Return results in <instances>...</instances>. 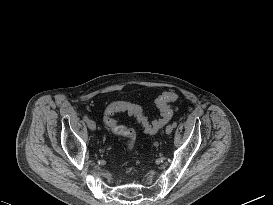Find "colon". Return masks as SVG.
Segmentation results:
<instances>
[{
	"instance_id": "obj_1",
	"label": "colon",
	"mask_w": 273,
	"mask_h": 205,
	"mask_svg": "<svg viewBox=\"0 0 273 205\" xmlns=\"http://www.w3.org/2000/svg\"><path fill=\"white\" fill-rule=\"evenodd\" d=\"M178 95L174 92H164L156 99V106L160 112V118L150 122L145 116L142 109L137 105L126 107V111L133 115L145 132L153 134L170 122L173 116V111L170 103L176 101ZM125 106L123 103H112L108 105L103 114L104 124L116 135L123 136L127 139L126 147L128 151H132L135 145L136 132L124 125L119 124L114 115L117 112L123 111Z\"/></svg>"
}]
</instances>
